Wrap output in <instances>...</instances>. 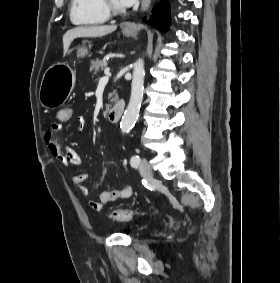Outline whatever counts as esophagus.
I'll return each instance as SVG.
<instances>
[{"instance_id": "esophagus-1", "label": "esophagus", "mask_w": 280, "mask_h": 283, "mask_svg": "<svg viewBox=\"0 0 280 283\" xmlns=\"http://www.w3.org/2000/svg\"><path fill=\"white\" fill-rule=\"evenodd\" d=\"M150 2H151V0H142L141 1V10L146 11L150 6ZM125 28L126 29H134L135 26L132 25V24H128V25L125 26Z\"/></svg>"}]
</instances>
